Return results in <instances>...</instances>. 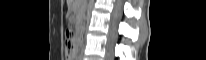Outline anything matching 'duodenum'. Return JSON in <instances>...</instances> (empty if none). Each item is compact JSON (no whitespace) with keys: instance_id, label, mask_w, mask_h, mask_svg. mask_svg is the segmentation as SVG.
Returning a JSON list of instances; mask_svg holds the SVG:
<instances>
[{"instance_id":"410a0bca","label":"duodenum","mask_w":206,"mask_h":60,"mask_svg":"<svg viewBox=\"0 0 206 60\" xmlns=\"http://www.w3.org/2000/svg\"><path fill=\"white\" fill-rule=\"evenodd\" d=\"M77 37H79V39H81V37H84V32L82 31V27L81 25H79L78 30H77Z\"/></svg>"}]
</instances>
